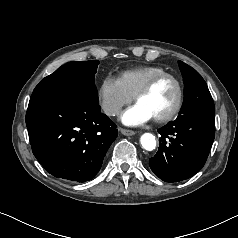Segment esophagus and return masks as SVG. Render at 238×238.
<instances>
[{
	"label": "esophagus",
	"mask_w": 238,
	"mask_h": 238,
	"mask_svg": "<svg viewBox=\"0 0 238 238\" xmlns=\"http://www.w3.org/2000/svg\"><path fill=\"white\" fill-rule=\"evenodd\" d=\"M119 131L126 136H131L134 135L135 132L133 130H129V129H124V128H119Z\"/></svg>",
	"instance_id": "esophagus-1"
}]
</instances>
